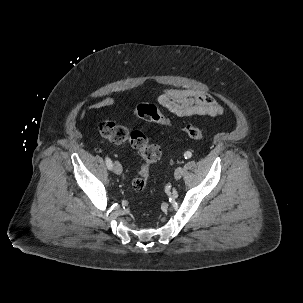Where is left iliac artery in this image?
Masks as SVG:
<instances>
[{
	"label": "left iliac artery",
	"mask_w": 303,
	"mask_h": 303,
	"mask_svg": "<svg viewBox=\"0 0 303 303\" xmlns=\"http://www.w3.org/2000/svg\"><path fill=\"white\" fill-rule=\"evenodd\" d=\"M191 156H192V153H191L190 151H187V152H185V154H184V158H185V159H189V158H191Z\"/></svg>",
	"instance_id": "obj_1"
}]
</instances>
